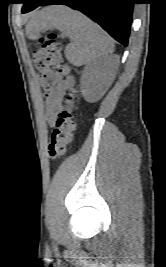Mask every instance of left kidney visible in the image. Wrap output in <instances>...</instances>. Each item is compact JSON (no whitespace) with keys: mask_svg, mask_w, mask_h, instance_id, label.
Listing matches in <instances>:
<instances>
[{"mask_svg":"<svg viewBox=\"0 0 166 267\" xmlns=\"http://www.w3.org/2000/svg\"><path fill=\"white\" fill-rule=\"evenodd\" d=\"M108 62L95 61L87 65L81 77V93L89 103L98 101L104 94L109 83Z\"/></svg>","mask_w":166,"mask_h":267,"instance_id":"1","label":"left kidney"}]
</instances>
